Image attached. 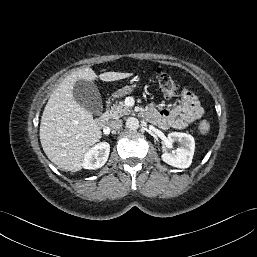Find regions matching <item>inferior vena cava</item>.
I'll return each instance as SVG.
<instances>
[{
    "mask_svg": "<svg viewBox=\"0 0 257 257\" xmlns=\"http://www.w3.org/2000/svg\"><path fill=\"white\" fill-rule=\"evenodd\" d=\"M122 120H114L109 123V127L113 130L120 129L122 127Z\"/></svg>",
    "mask_w": 257,
    "mask_h": 257,
    "instance_id": "inferior-vena-cava-1",
    "label": "inferior vena cava"
}]
</instances>
